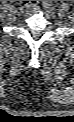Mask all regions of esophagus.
I'll return each mask as SVG.
<instances>
[{
	"label": "esophagus",
	"instance_id": "34e87169",
	"mask_svg": "<svg viewBox=\"0 0 74 122\" xmlns=\"http://www.w3.org/2000/svg\"><path fill=\"white\" fill-rule=\"evenodd\" d=\"M26 9L29 11V12H32V13H35L39 10V7L36 5V4H33V3H30L26 6Z\"/></svg>",
	"mask_w": 74,
	"mask_h": 122
}]
</instances>
